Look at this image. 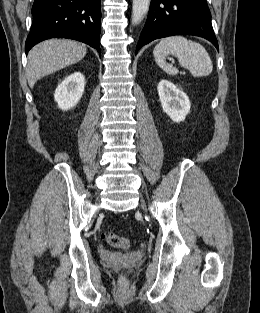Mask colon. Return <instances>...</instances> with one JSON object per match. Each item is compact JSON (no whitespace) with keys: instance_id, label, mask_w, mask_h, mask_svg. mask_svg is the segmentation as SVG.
<instances>
[{"instance_id":"5ec220e1","label":"colon","mask_w":260,"mask_h":313,"mask_svg":"<svg viewBox=\"0 0 260 313\" xmlns=\"http://www.w3.org/2000/svg\"><path fill=\"white\" fill-rule=\"evenodd\" d=\"M105 239L113 247L126 248L129 245V242L127 239L120 237L119 235L113 232H107L105 234ZM121 282H124L123 278H121Z\"/></svg>"}]
</instances>
